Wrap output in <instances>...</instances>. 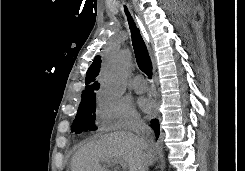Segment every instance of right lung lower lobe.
Wrapping results in <instances>:
<instances>
[{"label": "right lung lower lobe", "mask_w": 245, "mask_h": 171, "mask_svg": "<svg viewBox=\"0 0 245 171\" xmlns=\"http://www.w3.org/2000/svg\"><path fill=\"white\" fill-rule=\"evenodd\" d=\"M151 127L155 132L156 139L159 137L160 130H159V121L157 119H152L151 120Z\"/></svg>", "instance_id": "1"}]
</instances>
